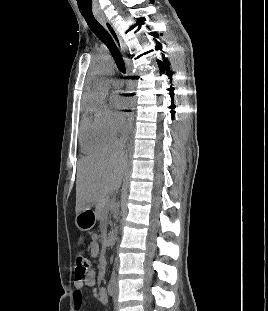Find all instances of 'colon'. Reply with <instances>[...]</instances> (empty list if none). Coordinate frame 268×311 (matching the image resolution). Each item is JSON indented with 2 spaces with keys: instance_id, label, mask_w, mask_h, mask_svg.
Segmentation results:
<instances>
[{
  "instance_id": "5ec220e1",
  "label": "colon",
  "mask_w": 268,
  "mask_h": 311,
  "mask_svg": "<svg viewBox=\"0 0 268 311\" xmlns=\"http://www.w3.org/2000/svg\"><path fill=\"white\" fill-rule=\"evenodd\" d=\"M75 263V279L82 280L90 270V261L83 252H80L76 256Z\"/></svg>"
}]
</instances>
